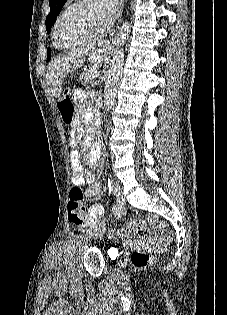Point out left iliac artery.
Instances as JSON below:
<instances>
[{
    "mask_svg": "<svg viewBox=\"0 0 227 315\" xmlns=\"http://www.w3.org/2000/svg\"><path fill=\"white\" fill-rule=\"evenodd\" d=\"M108 187H109V192L114 190V182L112 179H108ZM99 221L94 222L91 227L88 229L87 234L91 235L98 226Z\"/></svg>",
    "mask_w": 227,
    "mask_h": 315,
    "instance_id": "left-iliac-artery-1",
    "label": "left iliac artery"
}]
</instances>
